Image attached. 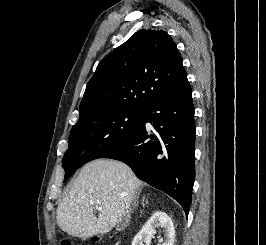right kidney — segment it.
Masks as SVG:
<instances>
[{"label":"right kidney","instance_id":"ca27d5eb","mask_svg":"<svg viewBox=\"0 0 266 245\" xmlns=\"http://www.w3.org/2000/svg\"><path fill=\"white\" fill-rule=\"evenodd\" d=\"M156 227H161V229H163L165 239L161 241L162 245H174V225L170 217H168L166 213H162V211H156V213L150 217L143 229L134 237L132 245H150L151 239L154 233H156Z\"/></svg>","mask_w":266,"mask_h":245}]
</instances>
